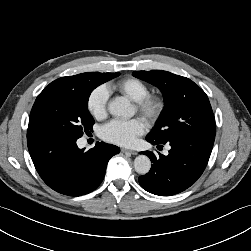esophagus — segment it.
I'll return each instance as SVG.
<instances>
[{
  "label": "esophagus",
  "instance_id": "obj_1",
  "mask_svg": "<svg viewBox=\"0 0 251 251\" xmlns=\"http://www.w3.org/2000/svg\"><path fill=\"white\" fill-rule=\"evenodd\" d=\"M121 152L122 153H129V154H131V155H136L137 154V152L136 151H134V150H128V149H121Z\"/></svg>",
  "mask_w": 251,
  "mask_h": 251
}]
</instances>
